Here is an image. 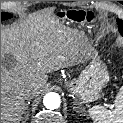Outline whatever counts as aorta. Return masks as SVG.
Instances as JSON below:
<instances>
[{
    "label": "aorta",
    "mask_w": 123,
    "mask_h": 123,
    "mask_svg": "<svg viewBox=\"0 0 123 123\" xmlns=\"http://www.w3.org/2000/svg\"><path fill=\"white\" fill-rule=\"evenodd\" d=\"M43 104L47 109L54 110L60 107L61 99L58 93L50 92L44 96Z\"/></svg>",
    "instance_id": "aorta-1"
}]
</instances>
